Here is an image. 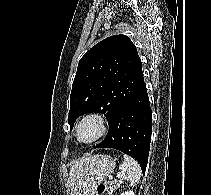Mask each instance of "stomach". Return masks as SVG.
I'll list each match as a JSON object with an SVG mask.
<instances>
[{
  "label": "stomach",
  "instance_id": "obj_1",
  "mask_svg": "<svg viewBox=\"0 0 211 195\" xmlns=\"http://www.w3.org/2000/svg\"><path fill=\"white\" fill-rule=\"evenodd\" d=\"M115 165V160L109 155H97L91 159L86 166L87 172L79 195H94L93 190L95 186L105 180L114 170Z\"/></svg>",
  "mask_w": 211,
  "mask_h": 195
}]
</instances>
